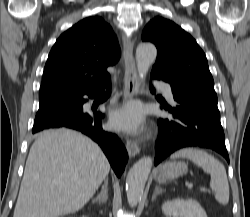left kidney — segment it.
Here are the masks:
<instances>
[{"mask_svg": "<svg viewBox=\"0 0 250 217\" xmlns=\"http://www.w3.org/2000/svg\"><path fill=\"white\" fill-rule=\"evenodd\" d=\"M162 212L168 217H207L202 206L193 199H174L162 205Z\"/></svg>", "mask_w": 250, "mask_h": 217, "instance_id": "obj_1", "label": "left kidney"}]
</instances>
